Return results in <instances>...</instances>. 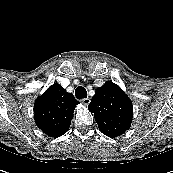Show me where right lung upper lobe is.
Returning a JSON list of instances; mask_svg holds the SVG:
<instances>
[{
  "label": "right lung upper lobe",
  "mask_w": 173,
  "mask_h": 173,
  "mask_svg": "<svg viewBox=\"0 0 173 173\" xmlns=\"http://www.w3.org/2000/svg\"><path fill=\"white\" fill-rule=\"evenodd\" d=\"M77 104L72 94L54 83L35 101L34 120L45 134L62 136L70 127Z\"/></svg>",
  "instance_id": "1"
}]
</instances>
